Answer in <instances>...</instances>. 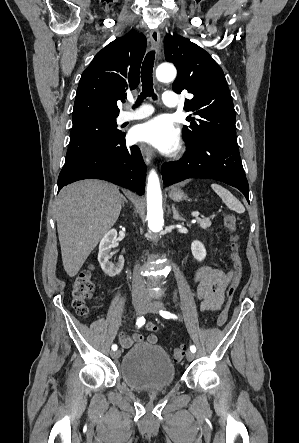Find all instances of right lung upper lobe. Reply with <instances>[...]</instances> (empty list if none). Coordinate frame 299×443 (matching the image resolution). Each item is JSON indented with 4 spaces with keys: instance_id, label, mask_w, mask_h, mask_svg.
Instances as JSON below:
<instances>
[{
    "instance_id": "1",
    "label": "right lung upper lobe",
    "mask_w": 299,
    "mask_h": 443,
    "mask_svg": "<svg viewBox=\"0 0 299 443\" xmlns=\"http://www.w3.org/2000/svg\"><path fill=\"white\" fill-rule=\"evenodd\" d=\"M145 51L144 35L130 32L96 54L78 85L73 124L89 118L119 115L117 100L138 86Z\"/></svg>"
}]
</instances>
